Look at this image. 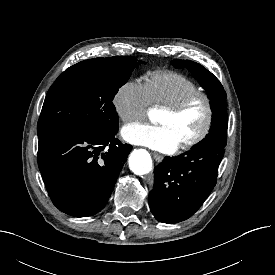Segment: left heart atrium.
Returning <instances> with one entry per match:
<instances>
[{
	"instance_id": "left-heart-atrium-1",
	"label": "left heart atrium",
	"mask_w": 275,
	"mask_h": 275,
	"mask_svg": "<svg viewBox=\"0 0 275 275\" xmlns=\"http://www.w3.org/2000/svg\"><path fill=\"white\" fill-rule=\"evenodd\" d=\"M123 138L133 144L161 152H172L179 143L170 128L162 124L135 123L122 129Z\"/></svg>"
}]
</instances>
